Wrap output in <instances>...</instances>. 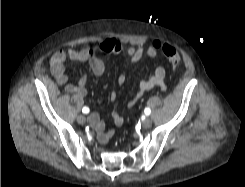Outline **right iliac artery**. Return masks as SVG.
Segmentation results:
<instances>
[{
  "label": "right iliac artery",
  "mask_w": 245,
  "mask_h": 187,
  "mask_svg": "<svg viewBox=\"0 0 245 187\" xmlns=\"http://www.w3.org/2000/svg\"><path fill=\"white\" fill-rule=\"evenodd\" d=\"M82 112H83L84 114L89 113V108H88V107H83Z\"/></svg>",
  "instance_id": "1"
}]
</instances>
